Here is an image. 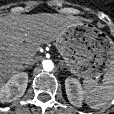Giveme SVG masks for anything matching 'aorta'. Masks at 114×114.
Wrapping results in <instances>:
<instances>
[{
	"label": "aorta",
	"mask_w": 114,
	"mask_h": 114,
	"mask_svg": "<svg viewBox=\"0 0 114 114\" xmlns=\"http://www.w3.org/2000/svg\"><path fill=\"white\" fill-rule=\"evenodd\" d=\"M54 68V63L51 60L43 61V69L45 71H52Z\"/></svg>",
	"instance_id": "obj_1"
}]
</instances>
